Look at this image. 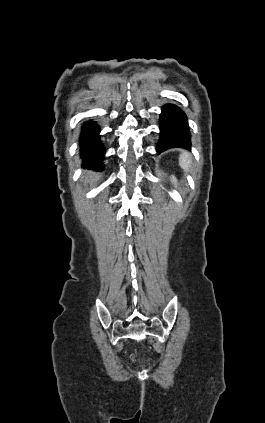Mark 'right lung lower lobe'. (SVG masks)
Returning a JSON list of instances; mask_svg holds the SVG:
<instances>
[{
  "instance_id": "right-lung-lower-lobe-1",
  "label": "right lung lower lobe",
  "mask_w": 265,
  "mask_h": 423,
  "mask_svg": "<svg viewBox=\"0 0 265 423\" xmlns=\"http://www.w3.org/2000/svg\"><path fill=\"white\" fill-rule=\"evenodd\" d=\"M81 151L80 155L84 164L97 166L102 169L101 162L104 158L105 149L99 140V127L94 122L83 125L80 136Z\"/></svg>"
}]
</instances>
